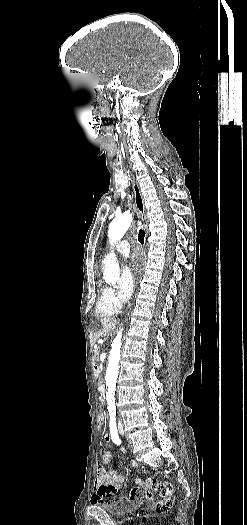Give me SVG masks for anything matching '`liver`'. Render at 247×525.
I'll list each match as a JSON object with an SVG mask.
<instances>
[{"instance_id": "obj_1", "label": "liver", "mask_w": 247, "mask_h": 525, "mask_svg": "<svg viewBox=\"0 0 247 525\" xmlns=\"http://www.w3.org/2000/svg\"><path fill=\"white\" fill-rule=\"evenodd\" d=\"M116 325H117L116 321H103L100 335H106V333H110V331H114V329H116Z\"/></svg>"}]
</instances>
